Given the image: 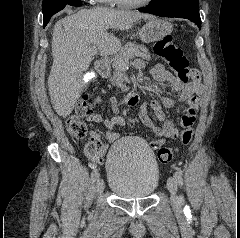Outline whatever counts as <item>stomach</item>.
<instances>
[{
	"label": "stomach",
	"mask_w": 240,
	"mask_h": 238,
	"mask_svg": "<svg viewBox=\"0 0 240 238\" xmlns=\"http://www.w3.org/2000/svg\"><path fill=\"white\" fill-rule=\"evenodd\" d=\"M173 30V25L163 19L149 20L139 31V37L144 43H152L164 38Z\"/></svg>",
	"instance_id": "1"
}]
</instances>
